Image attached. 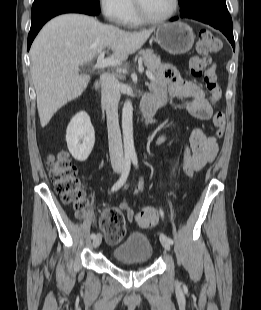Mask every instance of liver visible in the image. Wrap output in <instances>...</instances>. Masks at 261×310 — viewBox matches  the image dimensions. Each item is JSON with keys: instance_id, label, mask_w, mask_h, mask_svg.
Returning <instances> with one entry per match:
<instances>
[{"instance_id": "liver-1", "label": "liver", "mask_w": 261, "mask_h": 310, "mask_svg": "<svg viewBox=\"0 0 261 310\" xmlns=\"http://www.w3.org/2000/svg\"><path fill=\"white\" fill-rule=\"evenodd\" d=\"M153 31L128 32L82 14H63L49 21L30 49L41 126L86 90L91 76L79 74V66L91 62L105 47L112 50L111 57L125 61Z\"/></svg>"}]
</instances>
